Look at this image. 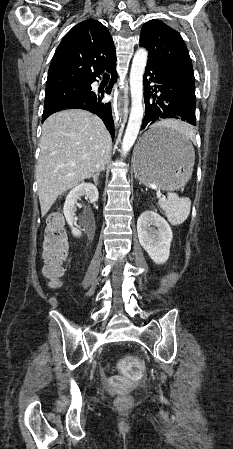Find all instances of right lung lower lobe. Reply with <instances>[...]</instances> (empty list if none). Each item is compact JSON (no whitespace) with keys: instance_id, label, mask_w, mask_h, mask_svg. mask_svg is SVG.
Instances as JSON below:
<instances>
[{"instance_id":"1","label":"right lung lower lobe","mask_w":233,"mask_h":449,"mask_svg":"<svg viewBox=\"0 0 233 449\" xmlns=\"http://www.w3.org/2000/svg\"><path fill=\"white\" fill-rule=\"evenodd\" d=\"M115 66H116V62L110 68H108V71H110L112 73V77H111L109 85L106 88L107 94H110L112 87L117 79V73H116ZM94 81H96V79ZM94 81H92V82H94ZM92 82H90L88 84L90 88H91L90 85ZM103 95H104V92H102L101 94L91 92L88 94V96H86L84 98L65 102V103L57 105L53 108L44 110L43 116H42V122L47 117H49L51 114L61 111V110L84 109V110H88V111L98 115L104 121L107 129L109 130L111 136L113 137L115 132H114V121H113L112 113H111V104L102 102Z\"/></svg>"}]
</instances>
